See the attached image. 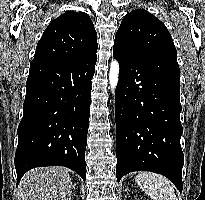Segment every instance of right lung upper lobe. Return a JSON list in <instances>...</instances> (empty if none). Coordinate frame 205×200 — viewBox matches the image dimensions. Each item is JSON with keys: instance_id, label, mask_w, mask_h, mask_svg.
Listing matches in <instances>:
<instances>
[{"instance_id": "right-lung-upper-lobe-1", "label": "right lung upper lobe", "mask_w": 205, "mask_h": 200, "mask_svg": "<svg viewBox=\"0 0 205 200\" xmlns=\"http://www.w3.org/2000/svg\"><path fill=\"white\" fill-rule=\"evenodd\" d=\"M97 48V33L89 15L67 11L45 29L34 60L74 61L96 53Z\"/></svg>"}]
</instances>
